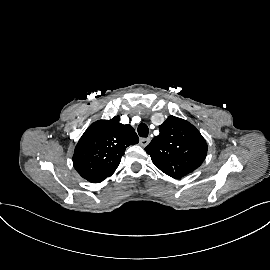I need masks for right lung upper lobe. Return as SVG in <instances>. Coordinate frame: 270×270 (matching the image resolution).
Wrapping results in <instances>:
<instances>
[{
	"instance_id": "1",
	"label": "right lung upper lobe",
	"mask_w": 270,
	"mask_h": 270,
	"mask_svg": "<svg viewBox=\"0 0 270 270\" xmlns=\"http://www.w3.org/2000/svg\"><path fill=\"white\" fill-rule=\"evenodd\" d=\"M111 120H98L91 124L75 147L73 165L86 180L99 183L110 177L118 165L125 149L139 142L134 128Z\"/></svg>"
}]
</instances>
